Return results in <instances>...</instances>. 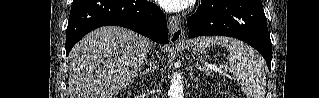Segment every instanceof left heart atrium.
<instances>
[{
	"label": "left heart atrium",
	"mask_w": 319,
	"mask_h": 98,
	"mask_svg": "<svg viewBox=\"0 0 319 98\" xmlns=\"http://www.w3.org/2000/svg\"><path fill=\"white\" fill-rule=\"evenodd\" d=\"M193 0H158L162 8L170 12H177L188 7Z\"/></svg>",
	"instance_id": "left-heart-atrium-1"
}]
</instances>
